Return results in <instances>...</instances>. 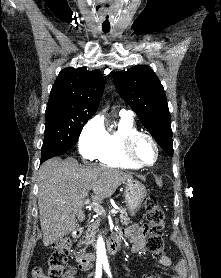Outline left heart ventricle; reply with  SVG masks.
<instances>
[{
	"instance_id": "b2bd125f",
	"label": "left heart ventricle",
	"mask_w": 221,
	"mask_h": 278,
	"mask_svg": "<svg viewBox=\"0 0 221 278\" xmlns=\"http://www.w3.org/2000/svg\"><path fill=\"white\" fill-rule=\"evenodd\" d=\"M136 157L145 164H152L155 160V148L153 144L146 138L138 140L135 146Z\"/></svg>"
}]
</instances>
